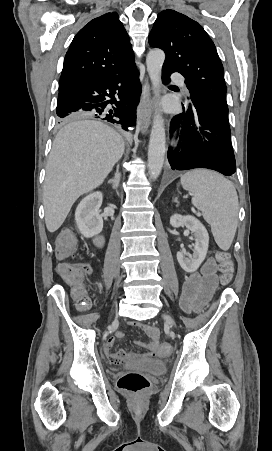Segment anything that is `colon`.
Instances as JSON below:
<instances>
[{
    "instance_id": "5ec220e1",
    "label": "colon",
    "mask_w": 272,
    "mask_h": 451,
    "mask_svg": "<svg viewBox=\"0 0 272 451\" xmlns=\"http://www.w3.org/2000/svg\"><path fill=\"white\" fill-rule=\"evenodd\" d=\"M79 242L74 235H70L69 229H63L57 242V252L59 256L68 258L72 256L73 250L78 249ZM219 262L218 270L220 272V280L223 283L229 282L233 276L234 264L227 251L220 250L215 255ZM88 269L86 262H80L78 265L70 264L69 262H62L58 270L59 278H66L70 289H74L73 300L74 303L87 305L91 303V294L89 288H83L85 283V271ZM161 354H170V345H161L158 348ZM125 356L122 353L113 354L110 360L114 364H121L124 362ZM118 388L122 391L139 394L150 388V380L148 376L142 372L129 371L123 374L118 382Z\"/></svg>"
}]
</instances>
